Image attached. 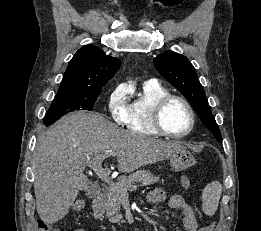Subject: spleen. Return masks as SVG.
Segmentation results:
<instances>
[{
  "mask_svg": "<svg viewBox=\"0 0 261 231\" xmlns=\"http://www.w3.org/2000/svg\"><path fill=\"white\" fill-rule=\"evenodd\" d=\"M222 193V185L219 181L209 183L202 191L204 213L208 216L215 214Z\"/></svg>",
  "mask_w": 261,
  "mask_h": 231,
  "instance_id": "3e777b00",
  "label": "spleen"
}]
</instances>
